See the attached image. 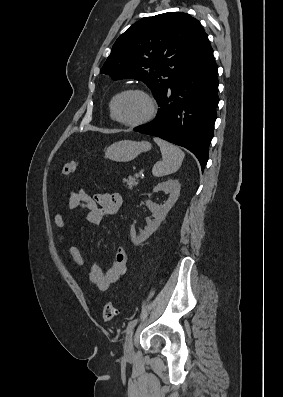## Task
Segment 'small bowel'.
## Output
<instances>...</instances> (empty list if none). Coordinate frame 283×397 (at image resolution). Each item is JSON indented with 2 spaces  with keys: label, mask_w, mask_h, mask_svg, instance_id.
Listing matches in <instances>:
<instances>
[{
  "label": "small bowel",
  "mask_w": 283,
  "mask_h": 397,
  "mask_svg": "<svg viewBox=\"0 0 283 397\" xmlns=\"http://www.w3.org/2000/svg\"><path fill=\"white\" fill-rule=\"evenodd\" d=\"M122 203V197L118 193H103L90 196L80 188L69 192L67 209L69 212L77 208L85 209L87 210V222L92 225H100L104 217L117 213ZM54 222L59 229H64L68 225V218L57 213L54 215ZM58 239L60 243H63L65 234L60 232ZM69 253L75 264L79 266L84 265V257L77 246L72 245L69 248ZM126 271L127 253L124 247L119 246L116 249L115 258L110 268L104 271L101 266L93 264L87 271V278L99 290L105 291L118 281Z\"/></svg>",
  "instance_id": "obj_1"
}]
</instances>
